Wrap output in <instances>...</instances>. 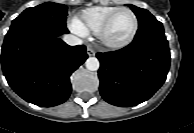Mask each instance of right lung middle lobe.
<instances>
[{
    "label": "right lung middle lobe",
    "mask_w": 194,
    "mask_h": 133,
    "mask_svg": "<svg viewBox=\"0 0 194 133\" xmlns=\"http://www.w3.org/2000/svg\"><path fill=\"white\" fill-rule=\"evenodd\" d=\"M67 7L63 4L52 2L43 3L36 7L26 9L16 19L13 20L11 27L23 22L30 21H56L66 24Z\"/></svg>",
    "instance_id": "1"
}]
</instances>
